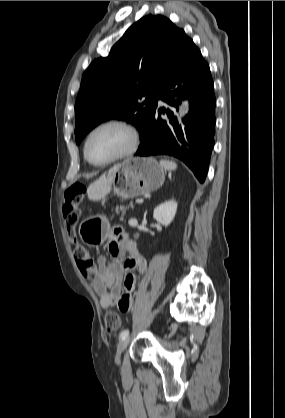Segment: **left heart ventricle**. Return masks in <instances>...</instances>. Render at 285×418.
I'll return each instance as SVG.
<instances>
[{
    "label": "left heart ventricle",
    "mask_w": 285,
    "mask_h": 418,
    "mask_svg": "<svg viewBox=\"0 0 285 418\" xmlns=\"http://www.w3.org/2000/svg\"><path fill=\"white\" fill-rule=\"evenodd\" d=\"M129 143L130 136L123 128L104 127L89 139L87 154L92 161L103 162L125 151Z\"/></svg>",
    "instance_id": "1"
}]
</instances>
